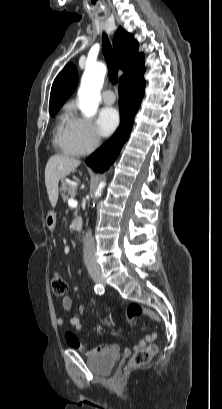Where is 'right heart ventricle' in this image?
<instances>
[{
	"label": "right heart ventricle",
	"mask_w": 222,
	"mask_h": 409,
	"mask_svg": "<svg viewBox=\"0 0 222 409\" xmlns=\"http://www.w3.org/2000/svg\"><path fill=\"white\" fill-rule=\"evenodd\" d=\"M71 113L66 109L61 115L56 127L55 143L60 147L63 153L70 156H79L81 151L74 142L70 132Z\"/></svg>",
	"instance_id": "right-heart-ventricle-1"
}]
</instances>
